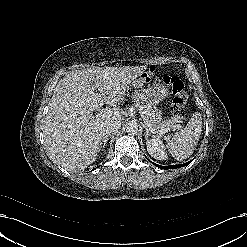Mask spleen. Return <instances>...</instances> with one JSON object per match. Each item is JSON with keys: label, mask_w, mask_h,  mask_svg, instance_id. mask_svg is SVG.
<instances>
[{"label": "spleen", "mask_w": 247, "mask_h": 247, "mask_svg": "<svg viewBox=\"0 0 247 247\" xmlns=\"http://www.w3.org/2000/svg\"><path fill=\"white\" fill-rule=\"evenodd\" d=\"M202 131V118L199 112L193 114L186 127L176 132L167 142L171 155L178 161L189 158L197 147Z\"/></svg>", "instance_id": "3e777b00"}]
</instances>
